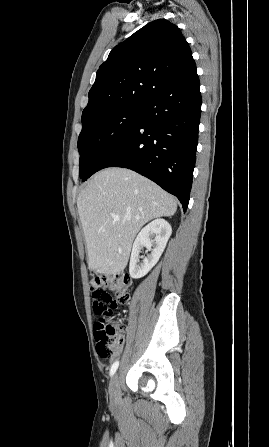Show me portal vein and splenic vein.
Instances as JSON below:
<instances>
[{
	"instance_id": "18ae733b",
	"label": "portal vein and splenic vein",
	"mask_w": 269,
	"mask_h": 447,
	"mask_svg": "<svg viewBox=\"0 0 269 447\" xmlns=\"http://www.w3.org/2000/svg\"><path fill=\"white\" fill-rule=\"evenodd\" d=\"M114 222H119L120 216H112Z\"/></svg>"
}]
</instances>
